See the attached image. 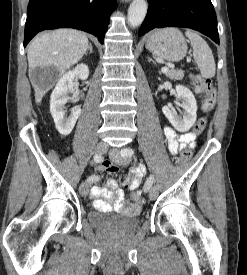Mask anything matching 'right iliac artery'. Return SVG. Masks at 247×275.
Listing matches in <instances>:
<instances>
[{"mask_svg":"<svg viewBox=\"0 0 247 275\" xmlns=\"http://www.w3.org/2000/svg\"><path fill=\"white\" fill-rule=\"evenodd\" d=\"M102 161V156L100 154H95L94 156V162L95 163H100ZM88 182L90 183H96L99 181V177L97 175H91L87 179Z\"/></svg>","mask_w":247,"mask_h":275,"instance_id":"1","label":"right iliac artery"}]
</instances>
